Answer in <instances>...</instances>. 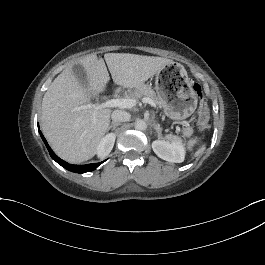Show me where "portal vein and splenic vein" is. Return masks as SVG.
I'll return each mask as SVG.
<instances>
[{
  "label": "portal vein and splenic vein",
  "mask_w": 265,
  "mask_h": 265,
  "mask_svg": "<svg viewBox=\"0 0 265 265\" xmlns=\"http://www.w3.org/2000/svg\"><path fill=\"white\" fill-rule=\"evenodd\" d=\"M143 103H148L153 107H156V103L149 97L142 98ZM137 102L135 99H111L106 101L105 103H102L98 106L87 104L84 106H81L80 108H95V109H101V108H132L136 106Z\"/></svg>",
  "instance_id": "obj_1"
}]
</instances>
